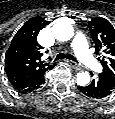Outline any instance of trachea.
Here are the masks:
<instances>
[{"instance_id": "1", "label": "trachea", "mask_w": 115, "mask_h": 119, "mask_svg": "<svg viewBox=\"0 0 115 119\" xmlns=\"http://www.w3.org/2000/svg\"><path fill=\"white\" fill-rule=\"evenodd\" d=\"M64 58H67V59H69V60H72V61L77 62V60H76V58H74V56H72V55H70V54H66V53H59V54L56 56V58H55L54 61H57V60H59V59H64Z\"/></svg>"}]
</instances>
